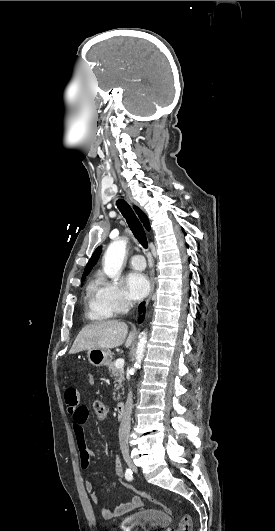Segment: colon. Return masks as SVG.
<instances>
[{
  "label": "colon",
  "instance_id": "1",
  "mask_svg": "<svg viewBox=\"0 0 275 531\" xmlns=\"http://www.w3.org/2000/svg\"><path fill=\"white\" fill-rule=\"evenodd\" d=\"M95 408V414L99 419H105L107 417V407L106 405L101 401H96L94 404ZM127 486L132 487V493L136 494L137 496H141L142 499L148 501L149 503L157 506H161L165 511H169V508L163 505V503L150 496L149 494L144 493V490L137 489L136 487H133L131 484H128ZM179 531H193V522L189 515L184 514L179 517Z\"/></svg>",
  "mask_w": 275,
  "mask_h": 531
}]
</instances>
